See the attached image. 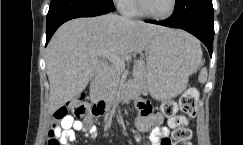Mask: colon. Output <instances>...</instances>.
Here are the masks:
<instances>
[{
    "label": "colon",
    "instance_id": "1",
    "mask_svg": "<svg viewBox=\"0 0 243 145\" xmlns=\"http://www.w3.org/2000/svg\"><path fill=\"white\" fill-rule=\"evenodd\" d=\"M197 101L198 91L195 88H189L179 100V108L182 114H177L178 106L175 102L167 100L162 103L161 111L169 118V125L173 128V143L170 142V145H191V131L188 125L196 114ZM69 112L77 117H82L86 112V107L80 100L73 99L55 111L54 119L61 122L69 116ZM47 145H61L54 129L49 131Z\"/></svg>",
    "mask_w": 243,
    "mask_h": 145
}]
</instances>
